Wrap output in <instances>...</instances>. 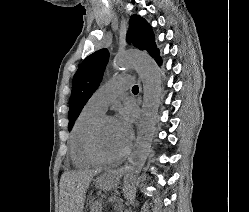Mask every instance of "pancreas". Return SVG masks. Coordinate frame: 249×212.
Masks as SVG:
<instances>
[{
	"label": "pancreas",
	"instance_id": "obj_1",
	"mask_svg": "<svg viewBox=\"0 0 249 212\" xmlns=\"http://www.w3.org/2000/svg\"><path fill=\"white\" fill-rule=\"evenodd\" d=\"M91 212H102V204H93Z\"/></svg>",
	"mask_w": 249,
	"mask_h": 212
}]
</instances>
